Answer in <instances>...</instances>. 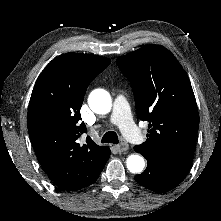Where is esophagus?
<instances>
[{
	"instance_id": "1",
	"label": "esophagus",
	"mask_w": 221,
	"mask_h": 221,
	"mask_svg": "<svg viewBox=\"0 0 221 221\" xmlns=\"http://www.w3.org/2000/svg\"><path fill=\"white\" fill-rule=\"evenodd\" d=\"M128 144L126 142H122L119 145H116L115 148L118 152H124L128 149Z\"/></svg>"
}]
</instances>
